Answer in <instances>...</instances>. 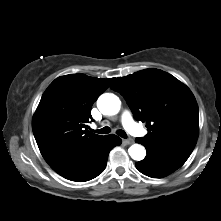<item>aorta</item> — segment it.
Wrapping results in <instances>:
<instances>
[{"label": "aorta", "mask_w": 221, "mask_h": 221, "mask_svg": "<svg viewBox=\"0 0 221 221\" xmlns=\"http://www.w3.org/2000/svg\"><path fill=\"white\" fill-rule=\"evenodd\" d=\"M121 106L120 99L111 93L102 94L97 100V107L104 115H115ZM129 155L133 160L141 161L145 158L146 150L140 144H133L128 149Z\"/></svg>", "instance_id": "obj_1"}]
</instances>
